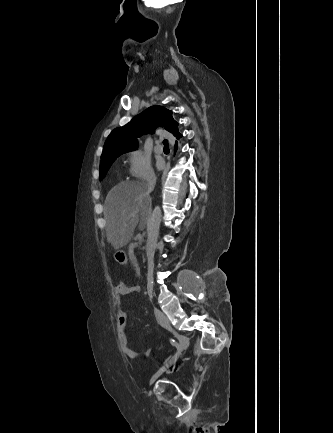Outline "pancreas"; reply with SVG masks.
I'll use <instances>...</instances> for the list:
<instances>
[{
	"label": "pancreas",
	"instance_id": "obj_1",
	"mask_svg": "<svg viewBox=\"0 0 333 433\" xmlns=\"http://www.w3.org/2000/svg\"><path fill=\"white\" fill-rule=\"evenodd\" d=\"M136 247H137V243L131 244L129 247V257H130V260L135 267L138 266V264L136 262V258L134 256V252H133L134 248H136Z\"/></svg>",
	"mask_w": 333,
	"mask_h": 433
}]
</instances>
